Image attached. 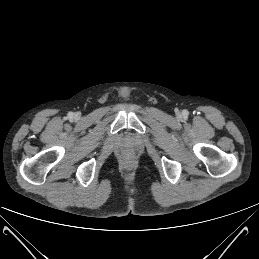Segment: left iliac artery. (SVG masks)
Instances as JSON below:
<instances>
[{"label": "left iliac artery", "mask_w": 259, "mask_h": 259, "mask_svg": "<svg viewBox=\"0 0 259 259\" xmlns=\"http://www.w3.org/2000/svg\"><path fill=\"white\" fill-rule=\"evenodd\" d=\"M188 114H189V112H188L187 110H183V116H184V117H187Z\"/></svg>", "instance_id": "44dca946"}]
</instances>
